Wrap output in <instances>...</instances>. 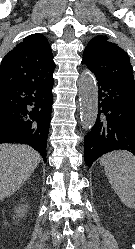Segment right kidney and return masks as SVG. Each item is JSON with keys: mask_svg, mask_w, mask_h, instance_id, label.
Returning <instances> with one entry per match:
<instances>
[{"mask_svg": "<svg viewBox=\"0 0 135 249\" xmlns=\"http://www.w3.org/2000/svg\"><path fill=\"white\" fill-rule=\"evenodd\" d=\"M15 212L17 213V216L20 217H24L25 213H26V208L25 206L21 205L17 208H15Z\"/></svg>", "mask_w": 135, "mask_h": 249, "instance_id": "ca27d5eb", "label": "right kidney"}]
</instances>
